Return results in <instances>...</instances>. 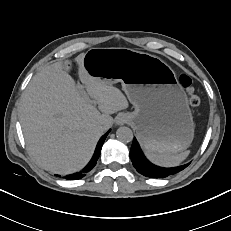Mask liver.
Instances as JSON below:
<instances>
[{"label":"liver","instance_id":"6515ba94","mask_svg":"<svg viewBox=\"0 0 231 231\" xmlns=\"http://www.w3.org/2000/svg\"><path fill=\"white\" fill-rule=\"evenodd\" d=\"M84 56L80 54L75 62L89 100L77 90L66 71L67 63L58 61L32 78L19 107L29 153L41 167L56 174L81 170L91 159L99 138L112 126L111 114L129 106L117 87L88 74Z\"/></svg>","mask_w":231,"mask_h":231}]
</instances>
